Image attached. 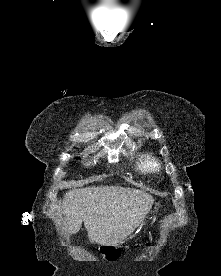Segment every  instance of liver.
<instances>
[{
    "label": "liver",
    "instance_id": "6515ba94",
    "mask_svg": "<svg viewBox=\"0 0 221 276\" xmlns=\"http://www.w3.org/2000/svg\"><path fill=\"white\" fill-rule=\"evenodd\" d=\"M153 202V197L142 190L93 186L66 192L61 211L71 234H76L84 222L91 243L115 245L133 233Z\"/></svg>",
    "mask_w": 221,
    "mask_h": 276
}]
</instances>
